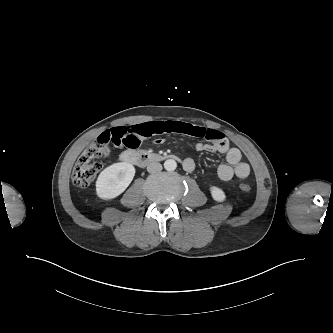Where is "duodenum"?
<instances>
[{
	"label": "duodenum",
	"instance_id": "410a0bca",
	"mask_svg": "<svg viewBox=\"0 0 333 333\" xmlns=\"http://www.w3.org/2000/svg\"><path fill=\"white\" fill-rule=\"evenodd\" d=\"M121 160L127 163L135 164L140 167L147 166L152 163L160 162L166 159L179 160L176 155H162L157 153H146L140 151L127 150L121 154ZM183 167L186 169L185 162L183 161Z\"/></svg>",
	"mask_w": 333,
	"mask_h": 333
}]
</instances>
